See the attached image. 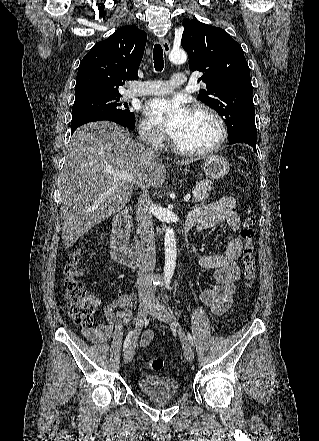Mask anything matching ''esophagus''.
<instances>
[{"label": "esophagus", "mask_w": 319, "mask_h": 441, "mask_svg": "<svg viewBox=\"0 0 319 441\" xmlns=\"http://www.w3.org/2000/svg\"><path fill=\"white\" fill-rule=\"evenodd\" d=\"M161 45H162V48L164 50L165 55L168 56L169 53H170V43H169V41L166 38H163L161 40Z\"/></svg>", "instance_id": "esophagus-1"}]
</instances>
